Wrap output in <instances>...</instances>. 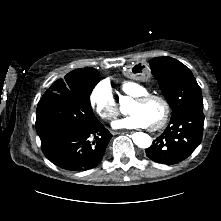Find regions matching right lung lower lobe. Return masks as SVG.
I'll list each match as a JSON object with an SVG mask.
<instances>
[{
	"label": "right lung lower lobe",
	"mask_w": 221,
	"mask_h": 221,
	"mask_svg": "<svg viewBox=\"0 0 221 221\" xmlns=\"http://www.w3.org/2000/svg\"><path fill=\"white\" fill-rule=\"evenodd\" d=\"M111 138L109 131L97 121L90 127L73 129L43 143L42 151L56 166L86 171L101 162Z\"/></svg>",
	"instance_id": "98d812e1"
}]
</instances>
